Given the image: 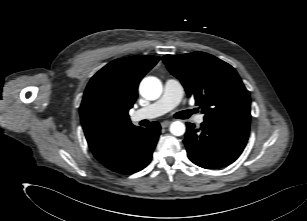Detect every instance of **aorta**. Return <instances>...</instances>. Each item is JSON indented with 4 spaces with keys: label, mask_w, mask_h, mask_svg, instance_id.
I'll return each instance as SVG.
<instances>
[{
    "label": "aorta",
    "mask_w": 307,
    "mask_h": 221,
    "mask_svg": "<svg viewBox=\"0 0 307 221\" xmlns=\"http://www.w3.org/2000/svg\"><path fill=\"white\" fill-rule=\"evenodd\" d=\"M139 91L144 98L155 100L162 93V84L156 77H146L141 81ZM170 132L175 136H181L185 133V125L180 121H175L170 125Z\"/></svg>",
    "instance_id": "obj_1"
}]
</instances>
